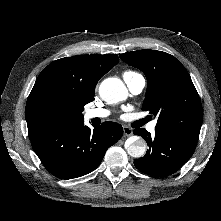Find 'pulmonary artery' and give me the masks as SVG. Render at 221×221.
<instances>
[{"instance_id":"e3ab8cb5","label":"pulmonary artery","mask_w":221,"mask_h":221,"mask_svg":"<svg viewBox=\"0 0 221 221\" xmlns=\"http://www.w3.org/2000/svg\"><path fill=\"white\" fill-rule=\"evenodd\" d=\"M123 78L130 92L134 95L140 94L145 87V79L140 74L135 73L133 75H124ZM109 113L110 112L106 109H89L86 111L85 116L87 119L106 118ZM155 126L156 122H151L148 125V130L153 132L155 130Z\"/></svg>"}]
</instances>
